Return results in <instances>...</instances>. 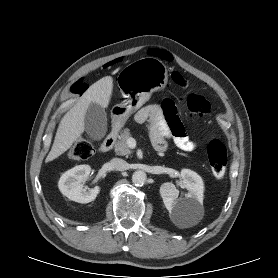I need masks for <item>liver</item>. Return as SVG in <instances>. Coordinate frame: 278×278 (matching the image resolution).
I'll return each instance as SVG.
<instances>
[{
    "instance_id": "6515ba94",
    "label": "liver",
    "mask_w": 278,
    "mask_h": 278,
    "mask_svg": "<svg viewBox=\"0 0 278 278\" xmlns=\"http://www.w3.org/2000/svg\"><path fill=\"white\" fill-rule=\"evenodd\" d=\"M113 92V78L105 76L92 84L61 119L46 162L66 152L84 132V118L91 103L108 107Z\"/></svg>"
}]
</instances>
